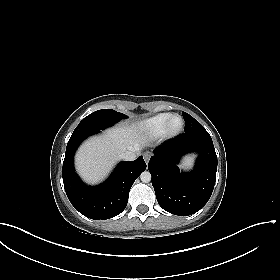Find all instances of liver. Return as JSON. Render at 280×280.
Wrapping results in <instances>:
<instances>
[{
	"label": "liver",
	"mask_w": 280,
	"mask_h": 280,
	"mask_svg": "<svg viewBox=\"0 0 280 280\" xmlns=\"http://www.w3.org/2000/svg\"><path fill=\"white\" fill-rule=\"evenodd\" d=\"M145 143L136 124L108 129L79 148L75 157L77 171L87 182L97 183L109 173L122 153L136 147L140 149Z\"/></svg>",
	"instance_id": "liver-1"
}]
</instances>
